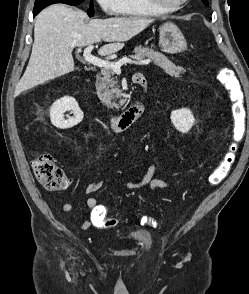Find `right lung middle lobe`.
Returning a JSON list of instances; mask_svg holds the SVG:
<instances>
[{"instance_id":"right-lung-middle-lobe-1","label":"right lung middle lobe","mask_w":249,"mask_h":294,"mask_svg":"<svg viewBox=\"0 0 249 294\" xmlns=\"http://www.w3.org/2000/svg\"><path fill=\"white\" fill-rule=\"evenodd\" d=\"M84 0H36L34 9H43L54 3H65L68 5L76 6L82 3ZM88 15L92 17L94 15L93 5H90V9L88 10Z\"/></svg>"}]
</instances>
